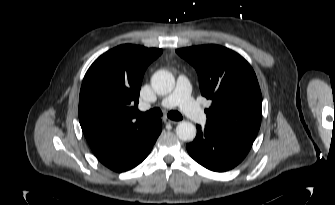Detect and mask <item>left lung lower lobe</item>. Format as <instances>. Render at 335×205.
<instances>
[{"label":"left lung lower lobe","mask_w":335,"mask_h":205,"mask_svg":"<svg viewBox=\"0 0 335 205\" xmlns=\"http://www.w3.org/2000/svg\"><path fill=\"white\" fill-rule=\"evenodd\" d=\"M197 135L186 148L190 156L205 168L224 172L238 165L249 152L253 141L227 134L212 127L202 130L197 125Z\"/></svg>","instance_id":"left-lung-lower-lobe-1"}]
</instances>
